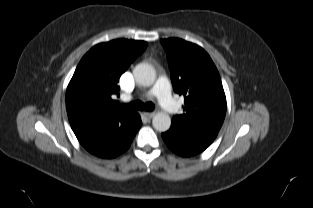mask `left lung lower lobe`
<instances>
[{
  "label": "left lung lower lobe",
  "mask_w": 313,
  "mask_h": 208,
  "mask_svg": "<svg viewBox=\"0 0 313 208\" xmlns=\"http://www.w3.org/2000/svg\"><path fill=\"white\" fill-rule=\"evenodd\" d=\"M162 138L174 153L182 157H190L201 153L214 140L206 137L191 136L173 126L167 132L162 133Z\"/></svg>",
  "instance_id": "left-lung-lower-lobe-1"
}]
</instances>
